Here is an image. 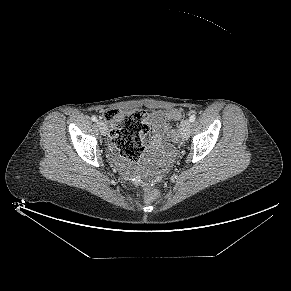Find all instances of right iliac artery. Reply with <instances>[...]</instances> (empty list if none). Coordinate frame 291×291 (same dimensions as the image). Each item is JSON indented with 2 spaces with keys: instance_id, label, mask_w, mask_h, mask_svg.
Masks as SVG:
<instances>
[{
  "instance_id": "right-iliac-artery-1",
  "label": "right iliac artery",
  "mask_w": 291,
  "mask_h": 291,
  "mask_svg": "<svg viewBox=\"0 0 291 291\" xmlns=\"http://www.w3.org/2000/svg\"><path fill=\"white\" fill-rule=\"evenodd\" d=\"M91 120H92L93 122H97V117H96V116H92V117H91Z\"/></svg>"
}]
</instances>
